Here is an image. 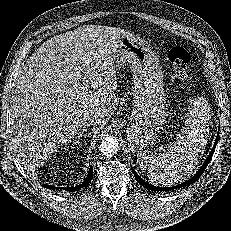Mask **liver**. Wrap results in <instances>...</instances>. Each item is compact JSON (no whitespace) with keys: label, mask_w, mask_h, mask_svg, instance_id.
Here are the masks:
<instances>
[{"label":"liver","mask_w":231,"mask_h":231,"mask_svg":"<svg viewBox=\"0 0 231 231\" xmlns=\"http://www.w3.org/2000/svg\"><path fill=\"white\" fill-rule=\"evenodd\" d=\"M127 34L80 26L50 38L27 60L10 108V140L26 169L34 171L70 142L84 117L96 119L94 133L107 123L119 104L113 54Z\"/></svg>","instance_id":"liver-1"}]
</instances>
